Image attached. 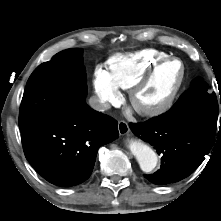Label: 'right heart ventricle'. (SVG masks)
I'll list each match as a JSON object with an SVG mask.
<instances>
[{"label":"right heart ventricle","mask_w":221,"mask_h":221,"mask_svg":"<svg viewBox=\"0 0 221 221\" xmlns=\"http://www.w3.org/2000/svg\"><path fill=\"white\" fill-rule=\"evenodd\" d=\"M166 57L167 53L156 49L116 54L107 61L108 73L118 87L129 89L154 63Z\"/></svg>","instance_id":"e07e8e85"}]
</instances>
